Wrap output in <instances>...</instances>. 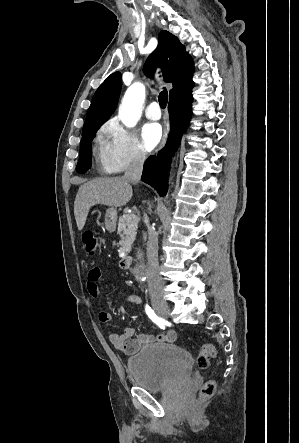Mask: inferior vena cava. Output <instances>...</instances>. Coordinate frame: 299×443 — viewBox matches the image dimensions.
I'll return each instance as SVG.
<instances>
[{
  "label": "inferior vena cava",
  "instance_id": "1",
  "mask_svg": "<svg viewBox=\"0 0 299 443\" xmlns=\"http://www.w3.org/2000/svg\"><path fill=\"white\" fill-rule=\"evenodd\" d=\"M145 156L141 153L135 154L129 167L127 168L124 179L133 184L140 181ZM145 221L148 227V241H147V278L148 288L151 297L163 295V282L159 275L158 268V237L154 229L149 224V218L144 214Z\"/></svg>",
  "mask_w": 299,
  "mask_h": 443
}]
</instances>
